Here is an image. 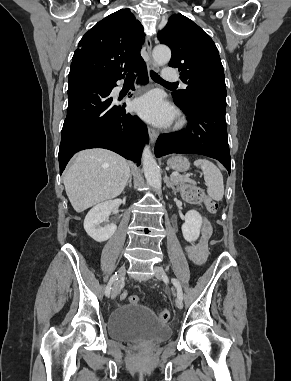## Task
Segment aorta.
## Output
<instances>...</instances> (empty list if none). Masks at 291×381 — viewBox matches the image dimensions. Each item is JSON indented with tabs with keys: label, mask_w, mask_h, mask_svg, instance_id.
Listing matches in <instances>:
<instances>
[{
	"label": "aorta",
	"mask_w": 291,
	"mask_h": 381,
	"mask_svg": "<svg viewBox=\"0 0 291 381\" xmlns=\"http://www.w3.org/2000/svg\"><path fill=\"white\" fill-rule=\"evenodd\" d=\"M153 60L158 66L166 65L171 58V51L165 45H157L153 49ZM142 163L145 178L148 184L158 191L161 188V174L159 166L150 150L149 146H145L142 153Z\"/></svg>",
	"instance_id": "1"
}]
</instances>
